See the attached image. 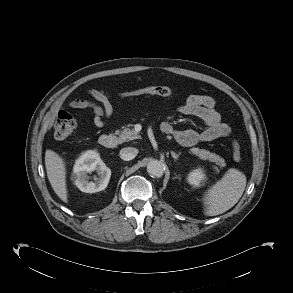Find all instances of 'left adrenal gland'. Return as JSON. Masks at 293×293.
<instances>
[{
  "instance_id": "a2214340",
  "label": "left adrenal gland",
  "mask_w": 293,
  "mask_h": 293,
  "mask_svg": "<svg viewBox=\"0 0 293 293\" xmlns=\"http://www.w3.org/2000/svg\"><path fill=\"white\" fill-rule=\"evenodd\" d=\"M171 155H172L173 159H174L175 161H177L178 158H179V156L181 155V153L179 152L178 154H176L175 152L171 151Z\"/></svg>"
}]
</instances>
